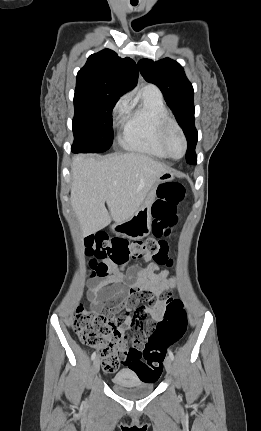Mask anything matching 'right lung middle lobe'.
<instances>
[{
  "label": "right lung middle lobe",
  "instance_id": "dd1d6c3e",
  "mask_svg": "<svg viewBox=\"0 0 261 431\" xmlns=\"http://www.w3.org/2000/svg\"><path fill=\"white\" fill-rule=\"evenodd\" d=\"M120 95L89 86L76 85L75 116L72 122L74 153H101L113 142L112 109Z\"/></svg>",
  "mask_w": 261,
  "mask_h": 431
}]
</instances>
